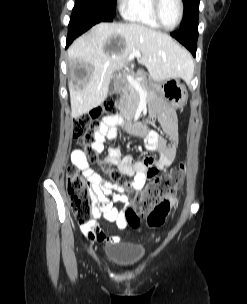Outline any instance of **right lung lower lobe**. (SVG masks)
Masks as SVG:
<instances>
[{
  "label": "right lung lower lobe",
  "instance_id": "obj_1",
  "mask_svg": "<svg viewBox=\"0 0 247 304\" xmlns=\"http://www.w3.org/2000/svg\"><path fill=\"white\" fill-rule=\"evenodd\" d=\"M113 21L112 17L95 15V14H77L72 13L70 18V23L68 25V36H67V44L72 43V41L81 35L83 32L87 31L93 25L99 22H111Z\"/></svg>",
  "mask_w": 247,
  "mask_h": 304
}]
</instances>
